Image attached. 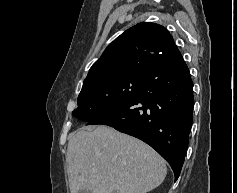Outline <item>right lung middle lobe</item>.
Returning <instances> with one entry per match:
<instances>
[{
	"mask_svg": "<svg viewBox=\"0 0 237 193\" xmlns=\"http://www.w3.org/2000/svg\"><path fill=\"white\" fill-rule=\"evenodd\" d=\"M143 79L144 75H126L83 86L72 115L91 121L111 113L137 94Z\"/></svg>",
	"mask_w": 237,
	"mask_h": 193,
	"instance_id": "right-lung-middle-lobe-1",
	"label": "right lung middle lobe"
}]
</instances>
